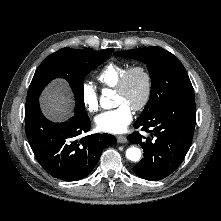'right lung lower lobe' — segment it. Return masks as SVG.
Segmentation results:
<instances>
[{"mask_svg":"<svg viewBox=\"0 0 221 221\" xmlns=\"http://www.w3.org/2000/svg\"><path fill=\"white\" fill-rule=\"evenodd\" d=\"M26 135L40 165L53 177L64 181L88 176L102 151L116 143L110 134L82 137L91 127L85 110L75 107L74 116L63 123L46 119L39 100L26 102Z\"/></svg>","mask_w":221,"mask_h":221,"instance_id":"1","label":"right lung lower lobe"}]
</instances>
